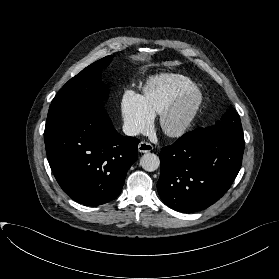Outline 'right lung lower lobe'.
<instances>
[{
	"label": "right lung lower lobe",
	"instance_id": "98d812e1",
	"mask_svg": "<svg viewBox=\"0 0 279 279\" xmlns=\"http://www.w3.org/2000/svg\"><path fill=\"white\" fill-rule=\"evenodd\" d=\"M47 158L63 191L87 206L121 193L127 170L138 158L139 140L120 135L102 103H89L45 130Z\"/></svg>",
	"mask_w": 279,
	"mask_h": 279
}]
</instances>
